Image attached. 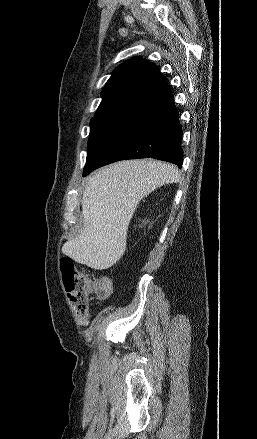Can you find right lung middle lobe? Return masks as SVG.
<instances>
[{
	"mask_svg": "<svg viewBox=\"0 0 257 439\" xmlns=\"http://www.w3.org/2000/svg\"><path fill=\"white\" fill-rule=\"evenodd\" d=\"M125 120L121 117H93L91 119L87 162Z\"/></svg>",
	"mask_w": 257,
	"mask_h": 439,
	"instance_id": "obj_1",
	"label": "right lung middle lobe"
}]
</instances>
